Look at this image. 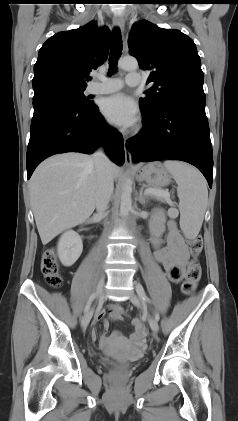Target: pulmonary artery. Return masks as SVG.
Listing matches in <instances>:
<instances>
[{"instance_id":"e3ab8cb5","label":"pulmonary artery","mask_w":238,"mask_h":421,"mask_svg":"<svg viewBox=\"0 0 238 421\" xmlns=\"http://www.w3.org/2000/svg\"><path fill=\"white\" fill-rule=\"evenodd\" d=\"M141 75L137 72H130L125 78V83L129 86L139 85ZM124 81L120 78H99L96 77L89 87L88 92L92 94H107L120 90Z\"/></svg>"}]
</instances>
